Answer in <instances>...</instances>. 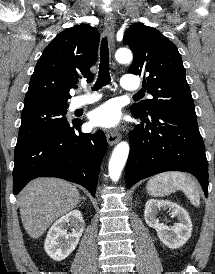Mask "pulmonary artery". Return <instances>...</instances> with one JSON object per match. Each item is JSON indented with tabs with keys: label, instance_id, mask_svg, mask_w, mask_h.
I'll use <instances>...</instances> for the list:
<instances>
[{
	"label": "pulmonary artery",
	"instance_id": "pulmonary-artery-1",
	"mask_svg": "<svg viewBox=\"0 0 215 274\" xmlns=\"http://www.w3.org/2000/svg\"><path fill=\"white\" fill-rule=\"evenodd\" d=\"M121 86L127 91H136L139 89V82L132 76H123L121 79ZM86 91L87 89L84 88ZM100 99L97 93H87L85 95L76 96L71 100L70 109L75 110L83 106L92 104Z\"/></svg>",
	"mask_w": 215,
	"mask_h": 274
}]
</instances>
